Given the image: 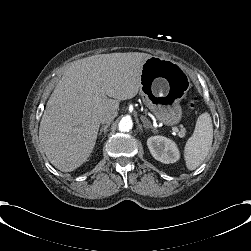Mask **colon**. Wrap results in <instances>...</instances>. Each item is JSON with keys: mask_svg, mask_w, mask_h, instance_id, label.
Segmentation results:
<instances>
[{"mask_svg": "<svg viewBox=\"0 0 251 251\" xmlns=\"http://www.w3.org/2000/svg\"><path fill=\"white\" fill-rule=\"evenodd\" d=\"M195 102H196V98H195V97H191V98H189V99L186 101L185 107H186V114H187V115L190 114V111L194 110Z\"/></svg>", "mask_w": 251, "mask_h": 251, "instance_id": "colon-1", "label": "colon"}]
</instances>
